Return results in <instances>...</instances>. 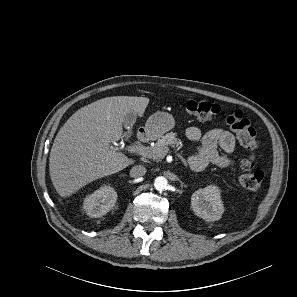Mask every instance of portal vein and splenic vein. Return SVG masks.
<instances>
[{"label": "portal vein and splenic vein", "mask_w": 297, "mask_h": 297, "mask_svg": "<svg viewBox=\"0 0 297 297\" xmlns=\"http://www.w3.org/2000/svg\"><path fill=\"white\" fill-rule=\"evenodd\" d=\"M118 149V148H117ZM128 150L131 151V152H136L142 156H151L152 155V152L150 150V147H145L143 145H133V146H129L128 147Z\"/></svg>", "instance_id": "obj_1"}]
</instances>
